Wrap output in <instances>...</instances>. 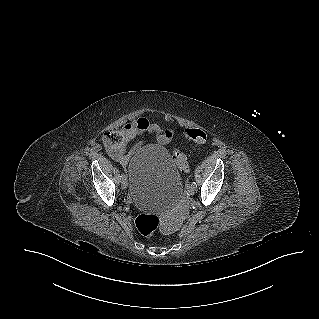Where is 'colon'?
Listing matches in <instances>:
<instances>
[{"label":"colon","mask_w":319,"mask_h":319,"mask_svg":"<svg viewBox=\"0 0 319 319\" xmlns=\"http://www.w3.org/2000/svg\"><path fill=\"white\" fill-rule=\"evenodd\" d=\"M177 136L181 140L189 139L194 144H204L209 139V134L206 131L196 129L190 122H185L180 126L177 131ZM172 155L179 170L182 173H187L189 171L187 156L177 149L173 150ZM135 224L141 234L150 236L158 230L161 222L157 216L141 214L136 218Z\"/></svg>","instance_id":"colon-1"}]
</instances>
